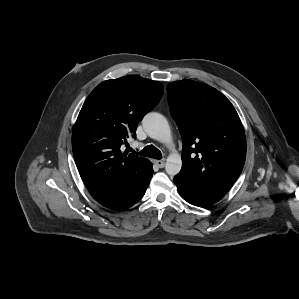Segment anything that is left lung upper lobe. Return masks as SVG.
Listing matches in <instances>:
<instances>
[{
  "mask_svg": "<svg viewBox=\"0 0 299 299\" xmlns=\"http://www.w3.org/2000/svg\"><path fill=\"white\" fill-rule=\"evenodd\" d=\"M170 112L183 140L179 176L226 194L246 158V138L231 102L213 87L184 79L167 86Z\"/></svg>",
  "mask_w": 299,
  "mask_h": 299,
  "instance_id": "obj_1",
  "label": "left lung upper lobe"
}]
</instances>
